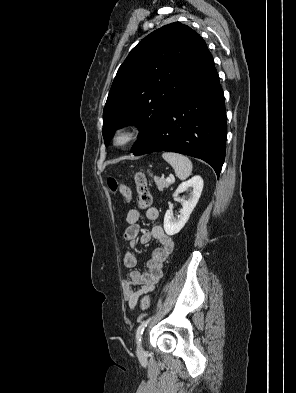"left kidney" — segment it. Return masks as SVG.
<instances>
[{
	"mask_svg": "<svg viewBox=\"0 0 296 393\" xmlns=\"http://www.w3.org/2000/svg\"><path fill=\"white\" fill-rule=\"evenodd\" d=\"M189 188H192V193L188 200H183L179 219L177 221L173 220L172 212L170 210H167L165 213L164 230L166 234L170 236L179 233L188 221L201 196L203 189V179L199 175H196L188 181L181 183L174 192L173 196L176 197Z\"/></svg>",
	"mask_w": 296,
	"mask_h": 393,
	"instance_id": "left-kidney-1",
	"label": "left kidney"
}]
</instances>
